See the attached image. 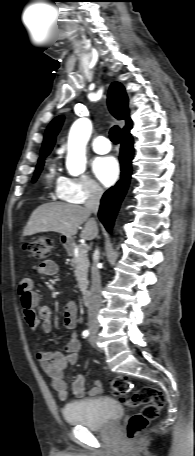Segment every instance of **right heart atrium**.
I'll return each instance as SVG.
<instances>
[{
    "label": "right heart atrium",
    "instance_id": "1",
    "mask_svg": "<svg viewBox=\"0 0 195 456\" xmlns=\"http://www.w3.org/2000/svg\"><path fill=\"white\" fill-rule=\"evenodd\" d=\"M102 194L103 189L88 176L64 177L57 191L60 199L74 204H83L90 200L99 199Z\"/></svg>",
    "mask_w": 195,
    "mask_h": 456
}]
</instances>
